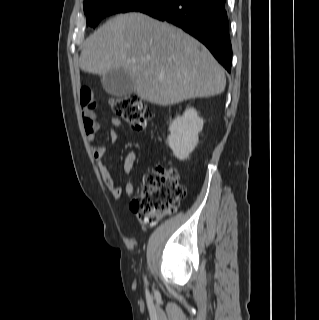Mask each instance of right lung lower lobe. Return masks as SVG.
I'll list each match as a JSON object with an SVG mask.
<instances>
[{"mask_svg":"<svg viewBox=\"0 0 319 320\" xmlns=\"http://www.w3.org/2000/svg\"><path fill=\"white\" fill-rule=\"evenodd\" d=\"M226 0H159L138 11L182 28L201 41L229 72L232 46Z\"/></svg>","mask_w":319,"mask_h":320,"instance_id":"98d812e1","label":"right lung lower lobe"}]
</instances>
